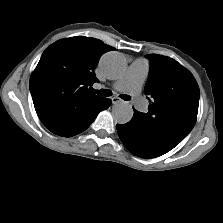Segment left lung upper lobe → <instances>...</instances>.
Segmentation results:
<instances>
[{"instance_id":"1","label":"left lung upper lobe","mask_w":223,"mask_h":223,"mask_svg":"<svg viewBox=\"0 0 223 223\" xmlns=\"http://www.w3.org/2000/svg\"><path fill=\"white\" fill-rule=\"evenodd\" d=\"M150 76L145 93L150 98L148 113L134 110L133 117L149 133L180 143L193 129L200 91L192 74L176 60L150 55Z\"/></svg>"}]
</instances>
